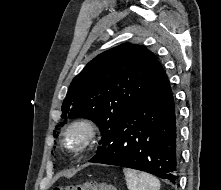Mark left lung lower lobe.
Returning a JSON list of instances; mask_svg holds the SVG:
<instances>
[{
    "label": "left lung lower lobe",
    "instance_id": "left-lung-lower-lobe-1",
    "mask_svg": "<svg viewBox=\"0 0 221 190\" xmlns=\"http://www.w3.org/2000/svg\"><path fill=\"white\" fill-rule=\"evenodd\" d=\"M178 161L177 110L164 72L89 162L133 168L175 183Z\"/></svg>",
    "mask_w": 221,
    "mask_h": 190
}]
</instances>
